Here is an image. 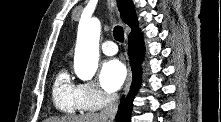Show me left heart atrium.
I'll return each instance as SVG.
<instances>
[{
	"label": "left heart atrium",
	"instance_id": "obj_1",
	"mask_svg": "<svg viewBox=\"0 0 221 122\" xmlns=\"http://www.w3.org/2000/svg\"><path fill=\"white\" fill-rule=\"evenodd\" d=\"M127 75L124 64L118 59H110L103 63L99 75L101 86L108 92L117 91Z\"/></svg>",
	"mask_w": 221,
	"mask_h": 122
}]
</instances>
